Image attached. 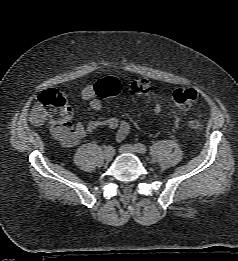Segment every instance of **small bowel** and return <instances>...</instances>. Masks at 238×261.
Listing matches in <instances>:
<instances>
[{"instance_id": "small-bowel-1", "label": "small bowel", "mask_w": 238, "mask_h": 261, "mask_svg": "<svg viewBox=\"0 0 238 261\" xmlns=\"http://www.w3.org/2000/svg\"><path fill=\"white\" fill-rule=\"evenodd\" d=\"M81 96L84 100L89 102L91 109L98 111L102 108V101L98 97L95 85H86L81 92ZM161 103H156L153 107L154 113H159L161 111ZM72 116V115H71ZM107 127L111 130L116 131V140H124L130 132V123L125 119H118L116 117H110L103 120L91 121L87 124L71 122V117L69 120L63 123L52 124L51 131L53 136L59 140L63 145L67 147H74L78 145L83 139L90 135L95 130Z\"/></svg>"}]
</instances>
